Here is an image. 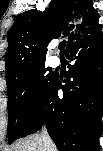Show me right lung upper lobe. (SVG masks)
Returning a JSON list of instances; mask_svg holds the SVG:
<instances>
[{"mask_svg":"<svg viewBox=\"0 0 103 151\" xmlns=\"http://www.w3.org/2000/svg\"><path fill=\"white\" fill-rule=\"evenodd\" d=\"M97 22L91 0H52L43 12L31 9L17 15L7 32V86L25 69L45 62L47 45L53 38L64 35L71 44Z\"/></svg>","mask_w":103,"mask_h":151,"instance_id":"1","label":"right lung upper lobe"}]
</instances>
